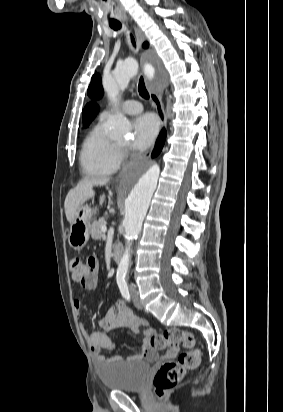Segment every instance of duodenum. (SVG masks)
I'll return each mask as SVG.
<instances>
[{"instance_id": "1", "label": "duodenum", "mask_w": 283, "mask_h": 412, "mask_svg": "<svg viewBox=\"0 0 283 412\" xmlns=\"http://www.w3.org/2000/svg\"><path fill=\"white\" fill-rule=\"evenodd\" d=\"M122 257V249L119 245H116L112 250V258L115 262H120Z\"/></svg>"}]
</instances>
